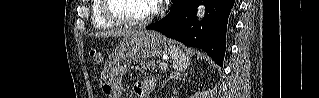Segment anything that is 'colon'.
I'll return each instance as SVG.
<instances>
[{
	"instance_id": "5ec220e1",
	"label": "colon",
	"mask_w": 319,
	"mask_h": 98,
	"mask_svg": "<svg viewBox=\"0 0 319 98\" xmlns=\"http://www.w3.org/2000/svg\"><path fill=\"white\" fill-rule=\"evenodd\" d=\"M90 58L97 64H100L102 62V56L98 49H91L89 52Z\"/></svg>"
}]
</instances>
